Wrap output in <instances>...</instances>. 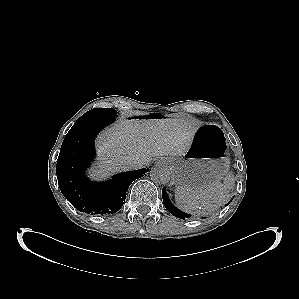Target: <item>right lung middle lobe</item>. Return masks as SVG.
Instances as JSON below:
<instances>
[{
	"label": "right lung middle lobe",
	"instance_id": "right-lung-middle-lobe-1",
	"mask_svg": "<svg viewBox=\"0 0 299 299\" xmlns=\"http://www.w3.org/2000/svg\"><path fill=\"white\" fill-rule=\"evenodd\" d=\"M117 118V111L113 108H94L82 115L76 122L88 120H114Z\"/></svg>",
	"mask_w": 299,
	"mask_h": 299
}]
</instances>
